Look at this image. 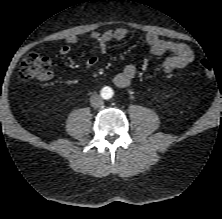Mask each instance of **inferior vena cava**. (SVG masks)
<instances>
[{"label":"inferior vena cava","mask_w":222,"mask_h":219,"mask_svg":"<svg viewBox=\"0 0 222 219\" xmlns=\"http://www.w3.org/2000/svg\"><path fill=\"white\" fill-rule=\"evenodd\" d=\"M90 103H91V106L93 108H99L103 105L104 101L102 99V97L98 94H93L91 97H90Z\"/></svg>","instance_id":"1"}]
</instances>
